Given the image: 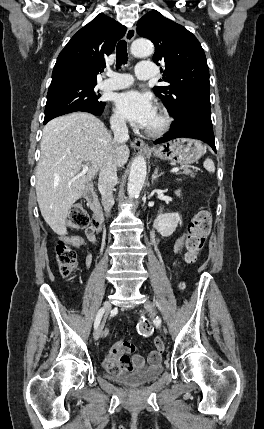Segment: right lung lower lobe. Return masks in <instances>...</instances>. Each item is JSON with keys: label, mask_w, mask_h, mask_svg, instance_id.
Returning <instances> with one entry per match:
<instances>
[{"label": "right lung lower lobe", "mask_w": 264, "mask_h": 429, "mask_svg": "<svg viewBox=\"0 0 264 429\" xmlns=\"http://www.w3.org/2000/svg\"><path fill=\"white\" fill-rule=\"evenodd\" d=\"M81 112H86V113H90V114H93V115L98 116V117H102V113H92V112H87V111H81ZM46 123L47 122L44 121V124H46Z\"/></svg>", "instance_id": "obj_1"}]
</instances>
